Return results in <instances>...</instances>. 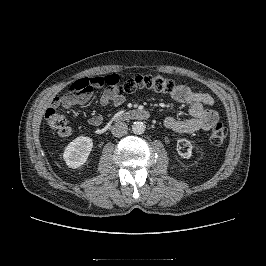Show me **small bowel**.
<instances>
[{
    "instance_id": "obj_1",
    "label": "small bowel",
    "mask_w": 266,
    "mask_h": 266,
    "mask_svg": "<svg viewBox=\"0 0 266 266\" xmlns=\"http://www.w3.org/2000/svg\"><path fill=\"white\" fill-rule=\"evenodd\" d=\"M91 98V93L86 94H67L56 98L54 103L69 109L75 104L87 103ZM172 98L182 104H189L188 119H176L167 117L164 121L165 126L179 133H193L197 131H207L211 129L219 120L217 111L213 108L214 100L206 93L195 91L187 85L180 84L172 92ZM124 102L122 95H117L113 90L106 89L100 97V103L103 107L119 106ZM103 117L100 114L92 115L89 118V124L98 127L102 124Z\"/></svg>"
}]
</instances>
